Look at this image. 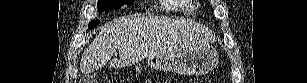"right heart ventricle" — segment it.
Wrapping results in <instances>:
<instances>
[{"label":"right heart ventricle","instance_id":"e07e8e85","mask_svg":"<svg viewBox=\"0 0 307 83\" xmlns=\"http://www.w3.org/2000/svg\"><path fill=\"white\" fill-rule=\"evenodd\" d=\"M168 9L180 10L182 12H191V7L185 4V1H168L165 5Z\"/></svg>","mask_w":307,"mask_h":83}]
</instances>
